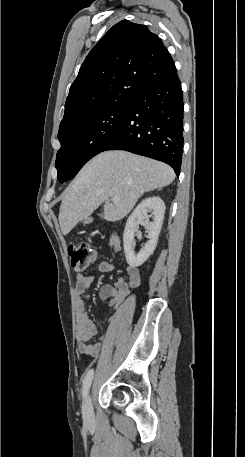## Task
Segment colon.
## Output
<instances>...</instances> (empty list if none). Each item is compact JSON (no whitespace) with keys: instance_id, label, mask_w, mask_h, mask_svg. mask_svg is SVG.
Masks as SVG:
<instances>
[{"instance_id":"1","label":"colon","mask_w":245,"mask_h":457,"mask_svg":"<svg viewBox=\"0 0 245 457\" xmlns=\"http://www.w3.org/2000/svg\"><path fill=\"white\" fill-rule=\"evenodd\" d=\"M71 266L76 270L84 269L90 262L93 251L86 243H73L68 246Z\"/></svg>"}]
</instances>
